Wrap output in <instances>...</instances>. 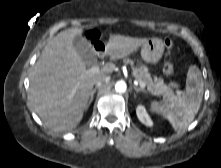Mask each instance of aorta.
Returning a JSON list of instances; mask_svg holds the SVG:
<instances>
[{
    "mask_svg": "<svg viewBox=\"0 0 221 168\" xmlns=\"http://www.w3.org/2000/svg\"><path fill=\"white\" fill-rule=\"evenodd\" d=\"M126 89H127L126 83L123 81H118L115 84V90L118 93H124V92H126Z\"/></svg>",
    "mask_w": 221,
    "mask_h": 168,
    "instance_id": "762f6f07",
    "label": "aorta"
}]
</instances>
